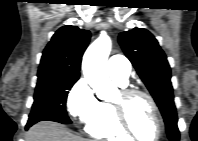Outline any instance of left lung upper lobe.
I'll return each instance as SVG.
<instances>
[{
  "mask_svg": "<svg viewBox=\"0 0 198 141\" xmlns=\"http://www.w3.org/2000/svg\"><path fill=\"white\" fill-rule=\"evenodd\" d=\"M119 43L157 103L168 138L179 140L177 113L170 66L155 37L146 29L134 28L119 35Z\"/></svg>",
  "mask_w": 198,
  "mask_h": 141,
  "instance_id": "left-lung-upper-lobe-1",
  "label": "left lung upper lobe"
}]
</instances>
